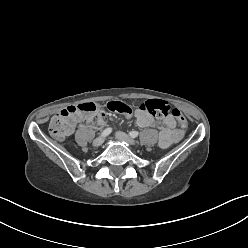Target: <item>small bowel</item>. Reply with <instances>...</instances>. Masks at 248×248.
I'll return each mask as SVG.
<instances>
[{"label":"small bowel","instance_id":"small-bowel-1","mask_svg":"<svg viewBox=\"0 0 248 248\" xmlns=\"http://www.w3.org/2000/svg\"><path fill=\"white\" fill-rule=\"evenodd\" d=\"M134 117L139 127L146 128L157 125L156 120L152 116L140 109L134 111ZM86 122L90 123L88 120ZM175 126L176 121L173 116L168 115L163 119L162 125L159 127L158 137V143L161 148H168L180 140L182 132L177 130Z\"/></svg>","mask_w":248,"mask_h":248}]
</instances>
